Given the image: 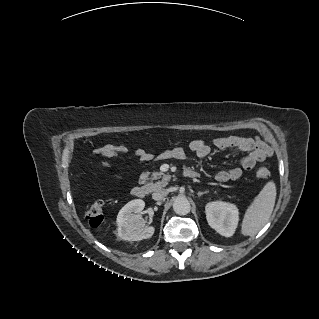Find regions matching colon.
Listing matches in <instances>:
<instances>
[{"label": "colon", "instance_id": "5ec220e1", "mask_svg": "<svg viewBox=\"0 0 319 319\" xmlns=\"http://www.w3.org/2000/svg\"><path fill=\"white\" fill-rule=\"evenodd\" d=\"M270 172L267 168L261 167L256 171V176L261 179L268 178ZM86 219L92 227L101 225L104 219V204L102 201H94L86 211Z\"/></svg>", "mask_w": 319, "mask_h": 319}]
</instances>
